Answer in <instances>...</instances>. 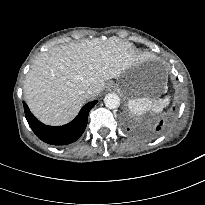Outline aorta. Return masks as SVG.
Instances as JSON below:
<instances>
[{
  "mask_svg": "<svg viewBox=\"0 0 205 205\" xmlns=\"http://www.w3.org/2000/svg\"><path fill=\"white\" fill-rule=\"evenodd\" d=\"M104 104L109 109H116L120 105V98L115 93H108L104 97Z\"/></svg>",
  "mask_w": 205,
  "mask_h": 205,
  "instance_id": "obj_1",
  "label": "aorta"
}]
</instances>
